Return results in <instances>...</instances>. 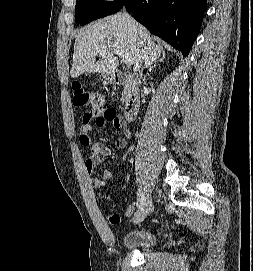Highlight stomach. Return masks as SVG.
<instances>
[{"mask_svg":"<svg viewBox=\"0 0 253 271\" xmlns=\"http://www.w3.org/2000/svg\"><path fill=\"white\" fill-rule=\"evenodd\" d=\"M103 76L107 81H112V76L110 74H103Z\"/></svg>","mask_w":253,"mask_h":271,"instance_id":"obj_1","label":"stomach"}]
</instances>
